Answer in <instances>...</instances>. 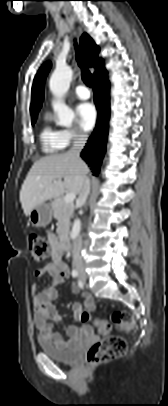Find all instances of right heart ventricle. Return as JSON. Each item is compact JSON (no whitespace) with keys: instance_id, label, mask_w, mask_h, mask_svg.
Returning a JSON list of instances; mask_svg holds the SVG:
<instances>
[{"instance_id":"obj_1","label":"right heart ventricle","mask_w":168,"mask_h":406,"mask_svg":"<svg viewBox=\"0 0 168 406\" xmlns=\"http://www.w3.org/2000/svg\"><path fill=\"white\" fill-rule=\"evenodd\" d=\"M40 141L43 151L46 153H58L67 146L62 131L51 125L49 115L44 116V123L40 132Z\"/></svg>"}]
</instances>
